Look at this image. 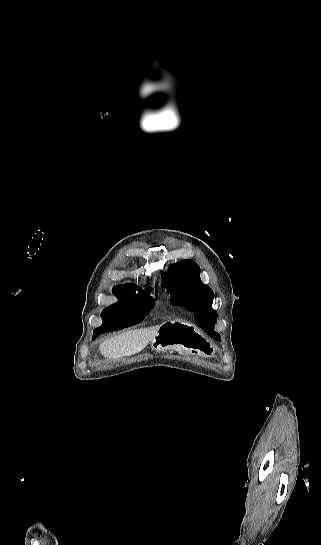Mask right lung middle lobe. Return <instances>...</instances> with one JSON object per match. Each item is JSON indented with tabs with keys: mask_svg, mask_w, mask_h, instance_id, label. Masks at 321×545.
<instances>
[{
	"mask_svg": "<svg viewBox=\"0 0 321 545\" xmlns=\"http://www.w3.org/2000/svg\"><path fill=\"white\" fill-rule=\"evenodd\" d=\"M131 291L133 290L113 288V294L120 300L114 305H128L132 308V314L126 318H112L103 314L101 315L103 320L101 329L113 330L119 327H129L140 323L149 314L154 305V299L149 296V291L140 290L138 295H130Z\"/></svg>",
	"mask_w": 321,
	"mask_h": 545,
	"instance_id": "right-lung-middle-lobe-1",
	"label": "right lung middle lobe"
}]
</instances>
